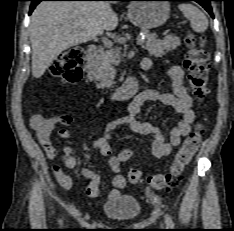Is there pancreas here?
I'll use <instances>...</instances> for the list:
<instances>
[{
	"label": "pancreas",
	"mask_w": 234,
	"mask_h": 231,
	"mask_svg": "<svg viewBox=\"0 0 234 231\" xmlns=\"http://www.w3.org/2000/svg\"><path fill=\"white\" fill-rule=\"evenodd\" d=\"M143 34L146 37V43L143 45V48L151 56L161 57L180 45V40L176 35H167L162 40H158L156 34L149 33L148 31H143ZM119 63L118 50L100 51L90 62L88 76L97 82L98 88H110L114 84L116 74L114 67Z\"/></svg>",
	"instance_id": "obj_1"
}]
</instances>
